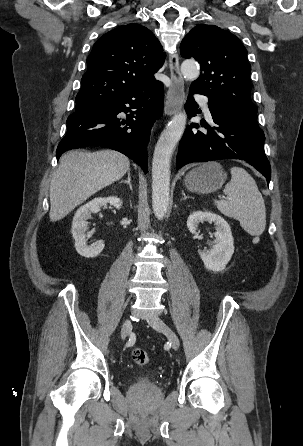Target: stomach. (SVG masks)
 Wrapping results in <instances>:
<instances>
[{"mask_svg": "<svg viewBox=\"0 0 303 446\" xmlns=\"http://www.w3.org/2000/svg\"><path fill=\"white\" fill-rule=\"evenodd\" d=\"M227 174L216 162L204 163L192 169L185 177V187L191 192L211 193L222 187Z\"/></svg>", "mask_w": 303, "mask_h": 446, "instance_id": "obj_1", "label": "stomach"}]
</instances>
